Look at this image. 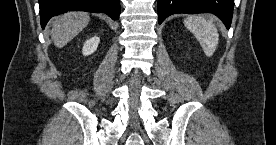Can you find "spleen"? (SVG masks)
Masks as SVG:
<instances>
[{"mask_svg":"<svg viewBox=\"0 0 276 145\" xmlns=\"http://www.w3.org/2000/svg\"><path fill=\"white\" fill-rule=\"evenodd\" d=\"M184 25L199 41L206 56L211 57L217 48L219 40L218 31L212 21H206L201 16H189L184 19Z\"/></svg>","mask_w":276,"mask_h":145,"instance_id":"3e777b00","label":"spleen"}]
</instances>
